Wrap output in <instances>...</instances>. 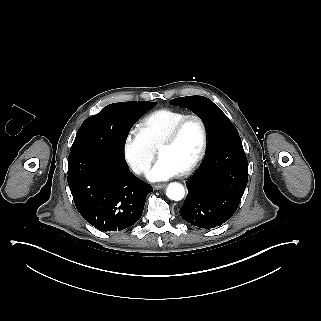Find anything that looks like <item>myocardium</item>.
<instances>
[{"mask_svg": "<svg viewBox=\"0 0 321 321\" xmlns=\"http://www.w3.org/2000/svg\"><path fill=\"white\" fill-rule=\"evenodd\" d=\"M189 120H197L199 122L200 127H201L202 140H201V146H200L199 152L196 155L195 159L192 161V163L186 169H184L181 172V174H183V175H188V174H191L193 171H195L199 167V165L201 164V162L203 161V159L207 153L208 128H207L206 122L199 115H196V114L187 115V116L183 117L182 119H180L179 121H177L171 127V129L159 139L160 142H166V143L173 142L176 139V137H177L179 131L181 130V128L183 127V125Z\"/></svg>", "mask_w": 321, "mask_h": 321, "instance_id": "f54148a6", "label": "myocardium"}]
</instances>
